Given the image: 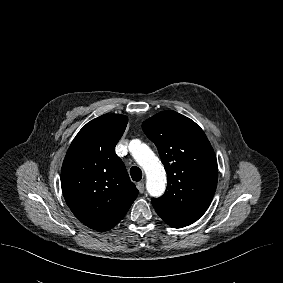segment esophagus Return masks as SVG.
Masks as SVG:
<instances>
[{"label":"esophagus","instance_id":"obj_1","mask_svg":"<svg viewBox=\"0 0 283 283\" xmlns=\"http://www.w3.org/2000/svg\"><path fill=\"white\" fill-rule=\"evenodd\" d=\"M137 188H138V190H139L140 193H143L144 190H145V185H144V183H143V182H138V183H137Z\"/></svg>","mask_w":283,"mask_h":283}]
</instances>
